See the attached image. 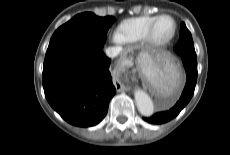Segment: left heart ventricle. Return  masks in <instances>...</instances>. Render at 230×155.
I'll use <instances>...</instances> for the list:
<instances>
[{"label":"left heart ventricle","mask_w":230,"mask_h":155,"mask_svg":"<svg viewBox=\"0 0 230 155\" xmlns=\"http://www.w3.org/2000/svg\"><path fill=\"white\" fill-rule=\"evenodd\" d=\"M173 28L172 21L170 19H162L156 26L155 35L159 39H164L171 33Z\"/></svg>","instance_id":"1"}]
</instances>
